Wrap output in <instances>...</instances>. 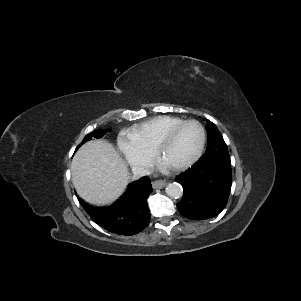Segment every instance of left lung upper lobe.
Wrapping results in <instances>:
<instances>
[{"instance_id":"5c2ea615","label":"left lung upper lobe","mask_w":301,"mask_h":301,"mask_svg":"<svg viewBox=\"0 0 301 301\" xmlns=\"http://www.w3.org/2000/svg\"><path fill=\"white\" fill-rule=\"evenodd\" d=\"M206 130L208 137V147L205 154L199 160H207L211 158L230 160L227 145L216 125L207 120Z\"/></svg>"}]
</instances>
